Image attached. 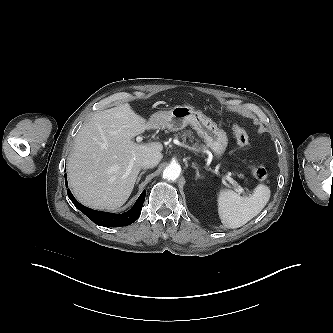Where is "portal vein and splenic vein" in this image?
<instances>
[{"instance_id": "1", "label": "portal vein and splenic vein", "mask_w": 333, "mask_h": 333, "mask_svg": "<svg viewBox=\"0 0 333 333\" xmlns=\"http://www.w3.org/2000/svg\"><path fill=\"white\" fill-rule=\"evenodd\" d=\"M136 141L139 143L142 141V137H137L136 138ZM225 179L230 183L232 184L234 187H235V190L241 194V193H244V189L232 178L230 177L229 175H225Z\"/></svg>"}]
</instances>
